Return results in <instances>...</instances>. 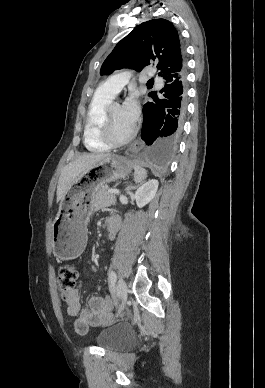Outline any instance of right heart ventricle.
Segmentation results:
<instances>
[{"instance_id":"1","label":"right heart ventricle","mask_w":265,"mask_h":388,"mask_svg":"<svg viewBox=\"0 0 265 388\" xmlns=\"http://www.w3.org/2000/svg\"><path fill=\"white\" fill-rule=\"evenodd\" d=\"M117 98V91H95L93 99L86 117L85 123V144L92 151H106L110 145L104 142L99 136V122L105 108L113 103V99Z\"/></svg>"}]
</instances>
